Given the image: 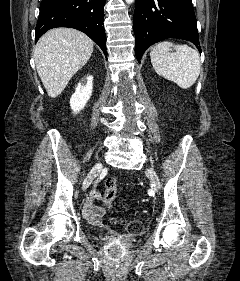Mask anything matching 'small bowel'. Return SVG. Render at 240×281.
<instances>
[{
  "mask_svg": "<svg viewBox=\"0 0 240 281\" xmlns=\"http://www.w3.org/2000/svg\"><path fill=\"white\" fill-rule=\"evenodd\" d=\"M100 197L101 194L98 191L92 190L83 202V217L94 226L100 225L105 215L104 207L92 203L93 200L99 199Z\"/></svg>",
  "mask_w": 240,
  "mask_h": 281,
  "instance_id": "c3829d8e",
  "label": "small bowel"
}]
</instances>
